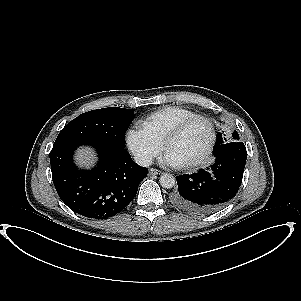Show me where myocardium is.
<instances>
[{
  "instance_id": "obj_1",
  "label": "myocardium",
  "mask_w": 301,
  "mask_h": 301,
  "mask_svg": "<svg viewBox=\"0 0 301 301\" xmlns=\"http://www.w3.org/2000/svg\"><path fill=\"white\" fill-rule=\"evenodd\" d=\"M196 121H202L208 125L209 131H210V138H209V142L206 147V150L203 152V154H201L197 159L186 163V165H185L186 168H194V167L203 165L210 158V155L212 154L215 143H216V131H215V126H214V123L212 122V120L205 116H201V115H196L191 118H188V119L180 122L171 131H169L163 140V147L165 150H167V147H168V144L170 143V141L173 140L178 135H180L181 133H183L184 130L189 125H191L192 123H194Z\"/></svg>"
}]
</instances>
